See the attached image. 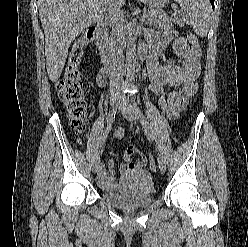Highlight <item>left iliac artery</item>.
Returning a JSON list of instances; mask_svg holds the SVG:
<instances>
[{"label":"left iliac artery","mask_w":248,"mask_h":247,"mask_svg":"<svg viewBox=\"0 0 248 247\" xmlns=\"http://www.w3.org/2000/svg\"><path fill=\"white\" fill-rule=\"evenodd\" d=\"M135 110H136V112H137L138 118L140 119L142 125L144 126L145 133H146L150 138H152V133H151L150 128H149V126H148L147 119H146V117L144 116V114L141 112V110L137 107L136 104H135Z\"/></svg>","instance_id":"44dca946"}]
</instances>
